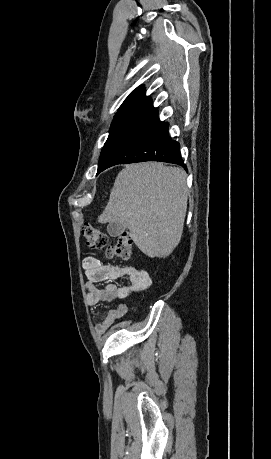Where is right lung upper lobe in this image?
I'll list each match as a JSON object with an SVG mask.
<instances>
[{
  "label": "right lung upper lobe",
  "mask_w": 271,
  "mask_h": 459,
  "mask_svg": "<svg viewBox=\"0 0 271 459\" xmlns=\"http://www.w3.org/2000/svg\"><path fill=\"white\" fill-rule=\"evenodd\" d=\"M148 111L157 113L152 105V99L145 96V89L139 86L125 99L117 113Z\"/></svg>",
  "instance_id": "right-lung-upper-lobe-1"
}]
</instances>
